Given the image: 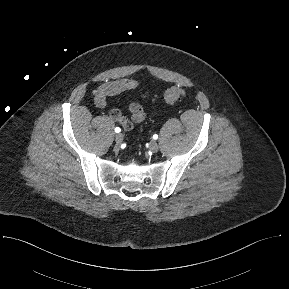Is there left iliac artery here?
<instances>
[{"instance_id":"obj_1","label":"left iliac artery","mask_w":289,"mask_h":289,"mask_svg":"<svg viewBox=\"0 0 289 289\" xmlns=\"http://www.w3.org/2000/svg\"><path fill=\"white\" fill-rule=\"evenodd\" d=\"M153 139H154V140L158 139V135H157V134H154V135H153Z\"/></svg>"}]
</instances>
